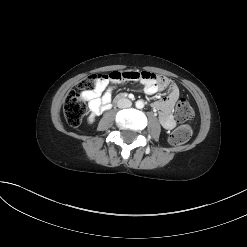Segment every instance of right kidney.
Segmentation results:
<instances>
[{
  "mask_svg": "<svg viewBox=\"0 0 247 247\" xmlns=\"http://www.w3.org/2000/svg\"><path fill=\"white\" fill-rule=\"evenodd\" d=\"M88 121H89V123H93V121H94V116H93V115L89 116Z\"/></svg>",
  "mask_w": 247,
  "mask_h": 247,
  "instance_id": "obj_1",
  "label": "right kidney"
}]
</instances>
